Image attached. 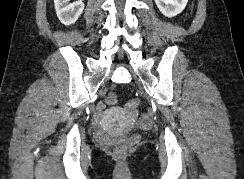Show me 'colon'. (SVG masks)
I'll list each match as a JSON object with an SVG mask.
<instances>
[{
  "mask_svg": "<svg viewBox=\"0 0 244 179\" xmlns=\"http://www.w3.org/2000/svg\"><path fill=\"white\" fill-rule=\"evenodd\" d=\"M117 93H110L109 96H103V101H105V104H114L117 100ZM141 101H131L130 104H125V109H139V106H141ZM121 147H116L117 155H127L128 152V143L127 142H121Z\"/></svg>",
  "mask_w": 244,
  "mask_h": 179,
  "instance_id": "obj_1",
  "label": "colon"
}]
</instances>
